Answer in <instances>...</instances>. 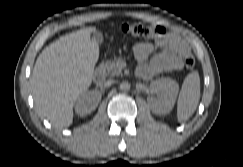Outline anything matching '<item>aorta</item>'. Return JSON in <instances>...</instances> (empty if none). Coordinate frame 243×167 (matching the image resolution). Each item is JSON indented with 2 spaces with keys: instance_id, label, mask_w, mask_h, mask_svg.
Returning <instances> with one entry per match:
<instances>
[{
  "instance_id": "762f6f07",
  "label": "aorta",
  "mask_w": 243,
  "mask_h": 167,
  "mask_svg": "<svg viewBox=\"0 0 243 167\" xmlns=\"http://www.w3.org/2000/svg\"><path fill=\"white\" fill-rule=\"evenodd\" d=\"M121 91H128L130 89V83L124 81L119 85Z\"/></svg>"
}]
</instances>
